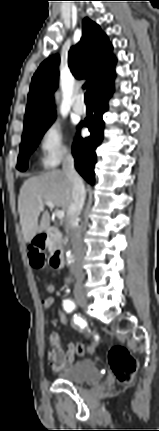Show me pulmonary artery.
<instances>
[{
  "label": "pulmonary artery",
  "mask_w": 159,
  "mask_h": 431,
  "mask_svg": "<svg viewBox=\"0 0 159 431\" xmlns=\"http://www.w3.org/2000/svg\"><path fill=\"white\" fill-rule=\"evenodd\" d=\"M83 100H84L83 95H78L73 105L74 112L79 115H83L86 113V106L84 105Z\"/></svg>",
  "instance_id": "obj_1"
}]
</instances>
